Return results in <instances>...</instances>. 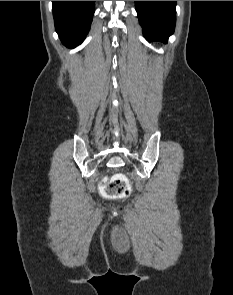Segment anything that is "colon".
<instances>
[{
  "label": "colon",
  "instance_id": "5ec220e1",
  "mask_svg": "<svg viewBox=\"0 0 233 295\" xmlns=\"http://www.w3.org/2000/svg\"><path fill=\"white\" fill-rule=\"evenodd\" d=\"M101 190L108 197L125 198L129 195L131 188L127 177L124 175H115L109 181H101Z\"/></svg>",
  "mask_w": 233,
  "mask_h": 295
}]
</instances>
